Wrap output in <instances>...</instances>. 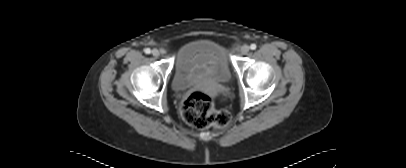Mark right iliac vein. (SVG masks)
<instances>
[{"label": "right iliac vein", "mask_w": 406, "mask_h": 168, "mask_svg": "<svg viewBox=\"0 0 406 168\" xmlns=\"http://www.w3.org/2000/svg\"><path fill=\"white\" fill-rule=\"evenodd\" d=\"M152 55H153L154 57H159L160 51H159L158 49H153V50H152Z\"/></svg>", "instance_id": "obj_1"}]
</instances>
